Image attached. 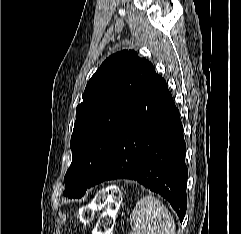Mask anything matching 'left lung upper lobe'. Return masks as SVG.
Returning <instances> with one entry per match:
<instances>
[{
    "label": "left lung upper lobe",
    "mask_w": 241,
    "mask_h": 234,
    "mask_svg": "<svg viewBox=\"0 0 241 234\" xmlns=\"http://www.w3.org/2000/svg\"><path fill=\"white\" fill-rule=\"evenodd\" d=\"M155 75L153 65L131 50L111 55L98 68L76 108L64 196L85 194L122 123Z\"/></svg>",
    "instance_id": "left-lung-upper-lobe-1"
}]
</instances>
